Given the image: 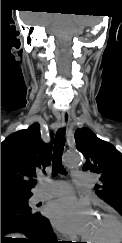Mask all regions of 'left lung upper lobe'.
Listing matches in <instances>:
<instances>
[{
    "instance_id": "obj_1",
    "label": "left lung upper lobe",
    "mask_w": 122,
    "mask_h": 243,
    "mask_svg": "<svg viewBox=\"0 0 122 243\" xmlns=\"http://www.w3.org/2000/svg\"><path fill=\"white\" fill-rule=\"evenodd\" d=\"M77 149L86 158L83 170L100 175L95 185L98 197L122 215V154L87 128L75 132Z\"/></svg>"
}]
</instances>
